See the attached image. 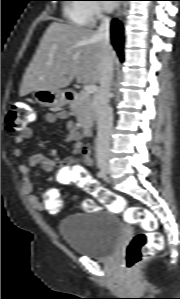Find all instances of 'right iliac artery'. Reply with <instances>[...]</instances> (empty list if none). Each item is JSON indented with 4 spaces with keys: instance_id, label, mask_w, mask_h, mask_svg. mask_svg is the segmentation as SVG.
I'll use <instances>...</instances> for the list:
<instances>
[{
    "instance_id": "82829eb1",
    "label": "right iliac artery",
    "mask_w": 180,
    "mask_h": 299,
    "mask_svg": "<svg viewBox=\"0 0 180 299\" xmlns=\"http://www.w3.org/2000/svg\"><path fill=\"white\" fill-rule=\"evenodd\" d=\"M98 177L99 178H104L105 177V173L103 171H99L98 172Z\"/></svg>"
}]
</instances>
